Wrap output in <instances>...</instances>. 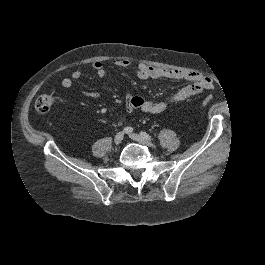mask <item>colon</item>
Listing matches in <instances>:
<instances>
[{
	"label": "colon",
	"instance_id": "1",
	"mask_svg": "<svg viewBox=\"0 0 265 265\" xmlns=\"http://www.w3.org/2000/svg\"><path fill=\"white\" fill-rule=\"evenodd\" d=\"M212 99V96H207L203 99L202 105H207ZM55 101V97L51 94H42L35 99L34 107L40 113H45L51 109Z\"/></svg>",
	"mask_w": 265,
	"mask_h": 265
}]
</instances>
